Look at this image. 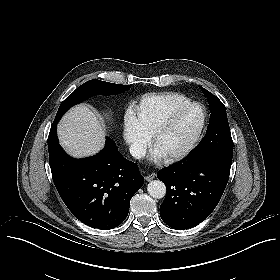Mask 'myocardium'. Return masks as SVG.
<instances>
[{
    "instance_id": "1",
    "label": "myocardium",
    "mask_w": 280,
    "mask_h": 280,
    "mask_svg": "<svg viewBox=\"0 0 280 280\" xmlns=\"http://www.w3.org/2000/svg\"><path fill=\"white\" fill-rule=\"evenodd\" d=\"M193 107V104H189L187 106V108H191ZM202 127H203V111L200 109V121L199 123L197 124L196 128L193 130V132L188 136V138L186 139V141L182 144V146L166 155L165 157L168 159V160H174V159H177L179 158L180 156H182L186 150L188 149V147L190 146V144L192 143V141L199 135V133L201 132L202 130ZM165 129V127H162L161 130H159L154 136L153 138L151 139L150 141V147H151V150L155 149V146L157 144V141L160 137V134L161 132Z\"/></svg>"
}]
</instances>
